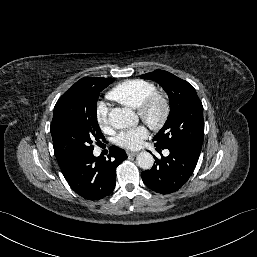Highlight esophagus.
<instances>
[{"label":"esophagus","mask_w":257,"mask_h":257,"mask_svg":"<svg viewBox=\"0 0 257 257\" xmlns=\"http://www.w3.org/2000/svg\"><path fill=\"white\" fill-rule=\"evenodd\" d=\"M127 155H128V156H136V155H138V152H131V151H128V152H127Z\"/></svg>","instance_id":"obj_1"}]
</instances>
